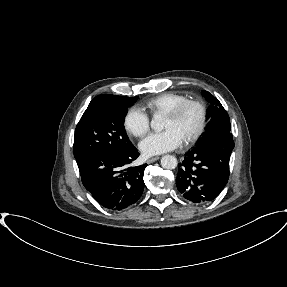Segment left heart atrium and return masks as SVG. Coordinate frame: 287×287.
Returning a JSON list of instances; mask_svg holds the SVG:
<instances>
[{
	"instance_id": "39dd6f15",
	"label": "left heart atrium",
	"mask_w": 287,
	"mask_h": 287,
	"mask_svg": "<svg viewBox=\"0 0 287 287\" xmlns=\"http://www.w3.org/2000/svg\"><path fill=\"white\" fill-rule=\"evenodd\" d=\"M179 132L170 127L161 132L151 133L141 143V151L147 155H156L171 151L183 143Z\"/></svg>"
}]
</instances>
